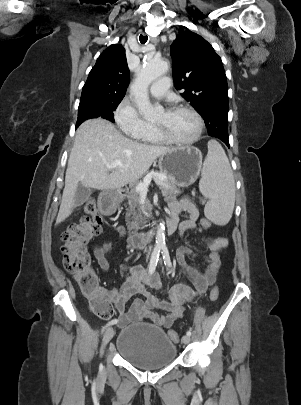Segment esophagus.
I'll return each instance as SVG.
<instances>
[{
  "label": "esophagus",
  "mask_w": 301,
  "mask_h": 405,
  "mask_svg": "<svg viewBox=\"0 0 301 405\" xmlns=\"http://www.w3.org/2000/svg\"><path fill=\"white\" fill-rule=\"evenodd\" d=\"M150 39H151V41H153V42L158 41V38H157V37H151Z\"/></svg>",
  "instance_id": "obj_1"
}]
</instances>
